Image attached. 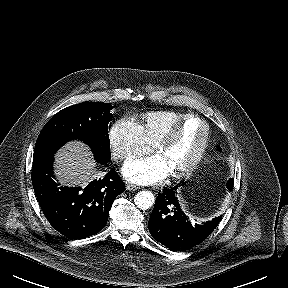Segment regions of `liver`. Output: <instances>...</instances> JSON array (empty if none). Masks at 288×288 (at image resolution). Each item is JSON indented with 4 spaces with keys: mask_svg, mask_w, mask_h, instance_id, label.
Masks as SVG:
<instances>
[{
    "mask_svg": "<svg viewBox=\"0 0 288 288\" xmlns=\"http://www.w3.org/2000/svg\"><path fill=\"white\" fill-rule=\"evenodd\" d=\"M96 163L83 143H67L55 155V175L64 186H86L96 177Z\"/></svg>",
    "mask_w": 288,
    "mask_h": 288,
    "instance_id": "liver-1",
    "label": "liver"
}]
</instances>
